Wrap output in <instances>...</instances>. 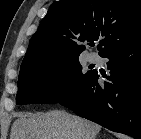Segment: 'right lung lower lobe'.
<instances>
[{"label": "right lung lower lobe", "mask_w": 141, "mask_h": 139, "mask_svg": "<svg viewBox=\"0 0 141 139\" xmlns=\"http://www.w3.org/2000/svg\"><path fill=\"white\" fill-rule=\"evenodd\" d=\"M102 57L109 59L108 81L98 84L99 74L94 71L59 103L112 131L141 139V39L116 47Z\"/></svg>", "instance_id": "1"}]
</instances>
